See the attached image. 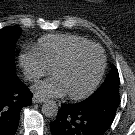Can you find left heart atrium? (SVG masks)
I'll use <instances>...</instances> for the list:
<instances>
[{
  "label": "left heart atrium",
  "mask_w": 135,
  "mask_h": 135,
  "mask_svg": "<svg viewBox=\"0 0 135 135\" xmlns=\"http://www.w3.org/2000/svg\"><path fill=\"white\" fill-rule=\"evenodd\" d=\"M32 89L35 95L42 98L61 97L67 94V90L62 81L55 75L37 83Z\"/></svg>",
  "instance_id": "1"
}]
</instances>
